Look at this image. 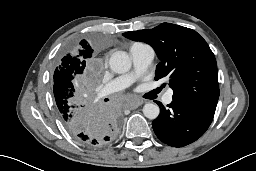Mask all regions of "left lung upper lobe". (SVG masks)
<instances>
[{
	"mask_svg": "<svg viewBox=\"0 0 256 171\" xmlns=\"http://www.w3.org/2000/svg\"><path fill=\"white\" fill-rule=\"evenodd\" d=\"M123 36L153 47L161 60L156 66L155 79L167 77L173 96L217 104L219 87L215 56L196 31L162 23L153 29L126 32Z\"/></svg>",
	"mask_w": 256,
	"mask_h": 171,
	"instance_id": "1",
	"label": "left lung upper lobe"
}]
</instances>
